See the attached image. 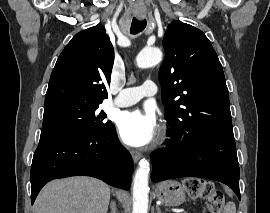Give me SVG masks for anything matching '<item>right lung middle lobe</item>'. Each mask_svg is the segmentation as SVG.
I'll use <instances>...</instances> for the list:
<instances>
[{
  "label": "right lung middle lobe",
  "mask_w": 270,
  "mask_h": 213,
  "mask_svg": "<svg viewBox=\"0 0 270 213\" xmlns=\"http://www.w3.org/2000/svg\"><path fill=\"white\" fill-rule=\"evenodd\" d=\"M99 103L63 101L44 107L41 133L58 132L73 135H98L112 125L106 121Z\"/></svg>",
  "instance_id": "obj_1"
}]
</instances>
